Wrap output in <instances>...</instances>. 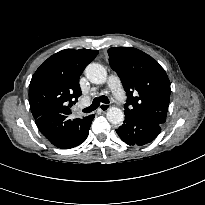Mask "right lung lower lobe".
Wrapping results in <instances>:
<instances>
[{"label":"right lung lower lobe","instance_id":"obj_1","mask_svg":"<svg viewBox=\"0 0 205 205\" xmlns=\"http://www.w3.org/2000/svg\"><path fill=\"white\" fill-rule=\"evenodd\" d=\"M94 115L83 119L69 120L67 115L48 112L36 119L40 132L56 147L73 148L81 144L88 136Z\"/></svg>","mask_w":205,"mask_h":205}]
</instances>
